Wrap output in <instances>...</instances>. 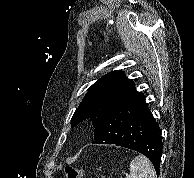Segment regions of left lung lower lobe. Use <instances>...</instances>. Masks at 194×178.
I'll return each instance as SVG.
<instances>
[{
    "mask_svg": "<svg viewBox=\"0 0 194 178\" xmlns=\"http://www.w3.org/2000/svg\"><path fill=\"white\" fill-rule=\"evenodd\" d=\"M93 144H115L148 157L157 175L162 154V137L142 93L121 101L97 124Z\"/></svg>",
    "mask_w": 194,
    "mask_h": 178,
    "instance_id": "left-lung-lower-lobe-1",
    "label": "left lung lower lobe"
}]
</instances>
